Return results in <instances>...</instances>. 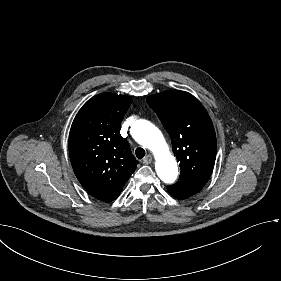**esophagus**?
Wrapping results in <instances>:
<instances>
[{"label":"esophagus","mask_w":281,"mask_h":281,"mask_svg":"<svg viewBox=\"0 0 281 281\" xmlns=\"http://www.w3.org/2000/svg\"><path fill=\"white\" fill-rule=\"evenodd\" d=\"M152 160H153V157L151 156V155H147L144 159H143V163L144 164H146V165H148V164H150L151 162H152Z\"/></svg>","instance_id":"esophagus-1"}]
</instances>
